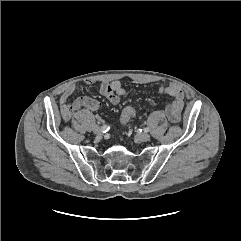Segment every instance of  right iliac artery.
I'll use <instances>...</instances> for the list:
<instances>
[{"instance_id":"right-iliac-artery-1","label":"right iliac artery","mask_w":241,"mask_h":241,"mask_svg":"<svg viewBox=\"0 0 241 241\" xmlns=\"http://www.w3.org/2000/svg\"><path fill=\"white\" fill-rule=\"evenodd\" d=\"M101 129H102L103 133H105L110 129V126L104 125V126L101 127Z\"/></svg>"}]
</instances>
